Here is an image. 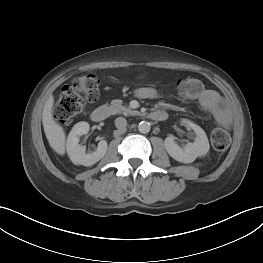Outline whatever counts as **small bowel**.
Listing matches in <instances>:
<instances>
[{"instance_id":"small-bowel-1","label":"small bowel","mask_w":263,"mask_h":263,"mask_svg":"<svg viewBox=\"0 0 263 263\" xmlns=\"http://www.w3.org/2000/svg\"><path fill=\"white\" fill-rule=\"evenodd\" d=\"M136 95L141 99H155L158 97L159 93L154 88L141 87L136 90ZM199 104L213 116L217 124L224 127L230 125V114L226 109L224 101L216 91L206 90L199 97Z\"/></svg>"}]
</instances>
